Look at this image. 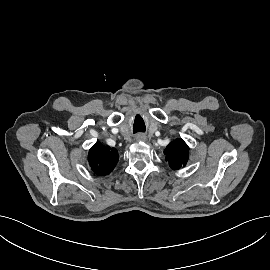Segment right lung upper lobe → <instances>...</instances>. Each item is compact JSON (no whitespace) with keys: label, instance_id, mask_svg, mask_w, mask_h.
<instances>
[{"label":"right lung upper lobe","instance_id":"cb5924a9","mask_svg":"<svg viewBox=\"0 0 270 270\" xmlns=\"http://www.w3.org/2000/svg\"><path fill=\"white\" fill-rule=\"evenodd\" d=\"M119 155L116 149L97 142L88 155L89 165L93 172L100 176L109 174L117 164Z\"/></svg>","mask_w":270,"mask_h":270}]
</instances>
